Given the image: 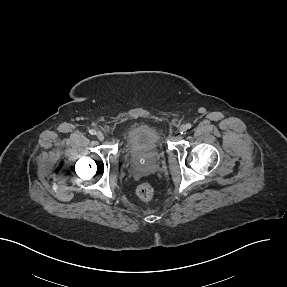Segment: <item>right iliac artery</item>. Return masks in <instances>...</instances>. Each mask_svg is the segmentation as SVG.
Here are the masks:
<instances>
[{
    "label": "right iliac artery",
    "mask_w": 287,
    "mask_h": 287,
    "mask_svg": "<svg viewBox=\"0 0 287 287\" xmlns=\"http://www.w3.org/2000/svg\"><path fill=\"white\" fill-rule=\"evenodd\" d=\"M89 133H90L91 135H95V134H96V130L91 129V130H89Z\"/></svg>",
    "instance_id": "right-iliac-artery-1"
}]
</instances>
